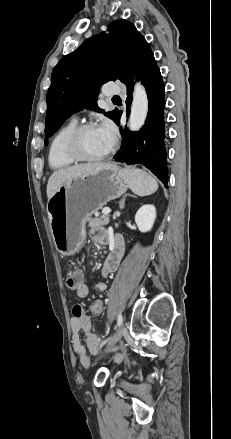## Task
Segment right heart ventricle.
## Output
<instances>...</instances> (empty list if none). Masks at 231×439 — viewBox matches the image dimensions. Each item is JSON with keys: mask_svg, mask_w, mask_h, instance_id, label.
<instances>
[{"mask_svg": "<svg viewBox=\"0 0 231 439\" xmlns=\"http://www.w3.org/2000/svg\"><path fill=\"white\" fill-rule=\"evenodd\" d=\"M76 125V121L71 120L63 125L53 136L48 149V164L51 169L63 170L75 163L64 151V140Z\"/></svg>", "mask_w": 231, "mask_h": 439, "instance_id": "obj_1", "label": "right heart ventricle"}]
</instances>
